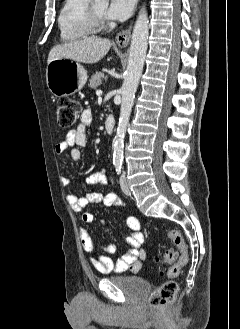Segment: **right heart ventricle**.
I'll return each instance as SVG.
<instances>
[{
  "label": "right heart ventricle",
  "instance_id": "e07e8e85",
  "mask_svg": "<svg viewBox=\"0 0 240 329\" xmlns=\"http://www.w3.org/2000/svg\"><path fill=\"white\" fill-rule=\"evenodd\" d=\"M89 0H64L58 15L60 37L75 42L95 33L88 21Z\"/></svg>",
  "mask_w": 240,
  "mask_h": 329
}]
</instances>
